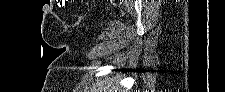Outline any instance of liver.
I'll return each mask as SVG.
<instances>
[{
  "label": "liver",
  "mask_w": 225,
  "mask_h": 92,
  "mask_svg": "<svg viewBox=\"0 0 225 92\" xmlns=\"http://www.w3.org/2000/svg\"><path fill=\"white\" fill-rule=\"evenodd\" d=\"M117 82H118V79H112L111 82L106 87H104L103 89L109 90L107 92H117V91L120 92L119 90H121V89L117 85Z\"/></svg>",
  "instance_id": "1"
}]
</instances>
